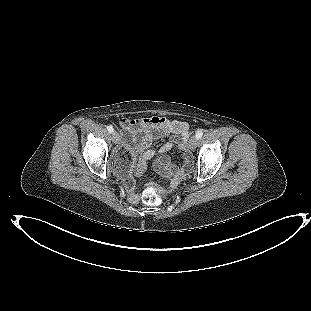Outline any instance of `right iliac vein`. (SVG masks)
<instances>
[{"instance_id":"63e3f726","label":"right iliac vein","mask_w":311,"mask_h":311,"mask_svg":"<svg viewBox=\"0 0 311 311\" xmlns=\"http://www.w3.org/2000/svg\"><path fill=\"white\" fill-rule=\"evenodd\" d=\"M120 140L119 133L117 131H113L112 133V141L114 144H117Z\"/></svg>"}]
</instances>
